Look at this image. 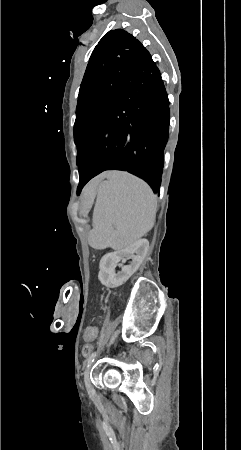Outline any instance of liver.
<instances>
[{
  "mask_svg": "<svg viewBox=\"0 0 241 450\" xmlns=\"http://www.w3.org/2000/svg\"><path fill=\"white\" fill-rule=\"evenodd\" d=\"M111 172H103V174H100V176H97V178H94V180H92V182H94V184H100L101 180H104V178H109Z\"/></svg>",
  "mask_w": 241,
  "mask_h": 450,
  "instance_id": "obj_1",
  "label": "liver"
}]
</instances>
